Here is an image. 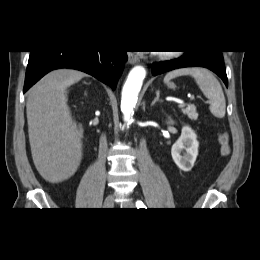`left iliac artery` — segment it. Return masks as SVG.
<instances>
[{
	"instance_id": "1",
	"label": "left iliac artery",
	"mask_w": 260,
	"mask_h": 260,
	"mask_svg": "<svg viewBox=\"0 0 260 260\" xmlns=\"http://www.w3.org/2000/svg\"><path fill=\"white\" fill-rule=\"evenodd\" d=\"M136 206H137L138 209L146 208V206L144 205V203L142 201H137Z\"/></svg>"
}]
</instances>
